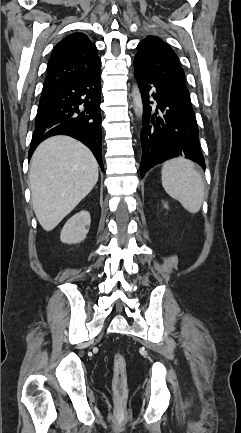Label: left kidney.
<instances>
[{"label":"left kidney","mask_w":241,"mask_h":433,"mask_svg":"<svg viewBox=\"0 0 241 433\" xmlns=\"http://www.w3.org/2000/svg\"><path fill=\"white\" fill-rule=\"evenodd\" d=\"M164 207H165V208H168V205H167V204H165V205H164Z\"/></svg>","instance_id":"obj_1"}]
</instances>
